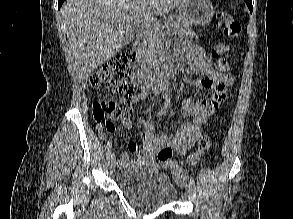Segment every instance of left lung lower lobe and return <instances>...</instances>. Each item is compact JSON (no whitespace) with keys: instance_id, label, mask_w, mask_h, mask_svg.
Here are the masks:
<instances>
[{"instance_id":"obj_1","label":"left lung lower lobe","mask_w":293,"mask_h":219,"mask_svg":"<svg viewBox=\"0 0 293 219\" xmlns=\"http://www.w3.org/2000/svg\"><path fill=\"white\" fill-rule=\"evenodd\" d=\"M250 10V12L252 13L253 7H252V0H244Z\"/></svg>"}]
</instances>
